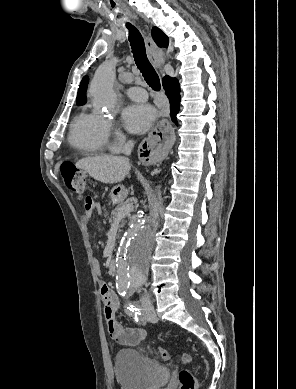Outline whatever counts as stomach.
Segmentation results:
<instances>
[{
	"instance_id": "stomach-1",
	"label": "stomach",
	"mask_w": 296,
	"mask_h": 389,
	"mask_svg": "<svg viewBox=\"0 0 296 389\" xmlns=\"http://www.w3.org/2000/svg\"><path fill=\"white\" fill-rule=\"evenodd\" d=\"M126 193L127 190L123 186L121 185L115 186L110 193L111 200L113 202H118L125 197Z\"/></svg>"
}]
</instances>
